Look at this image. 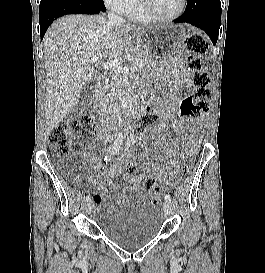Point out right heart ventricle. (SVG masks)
<instances>
[{
  "mask_svg": "<svg viewBox=\"0 0 265 273\" xmlns=\"http://www.w3.org/2000/svg\"><path fill=\"white\" fill-rule=\"evenodd\" d=\"M126 15L135 21L150 22L140 6V0H137L135 5L126 13Z\"/></svg>",
  "mask_w": 265,
  "mask_h": 273,
  "instance_id": "obj_1",
  "label": "right heart ventricle"
}]
</instances>
